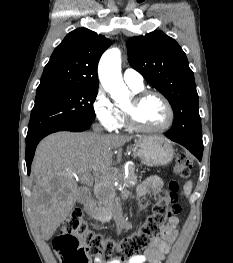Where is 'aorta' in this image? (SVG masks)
I'll return each mask as SVG.
<instances>
[{
	"label": "aorta",
	"mask_w": 233,
	"mask_h": 263,
	"mask_svg": "<svg viewBox=\"0 0 233 263\" xmlns=\"http://www.w3.org/2000/svg\"><path fill=\"white\" fill-rule=\"evenodd\" d=\"M98 74L102 86L118 104L128 102V88L121 75V52L119 49H109L102 55Z\"/></svg>",
	"instance_id": "obj_1"
}]
</instances>
